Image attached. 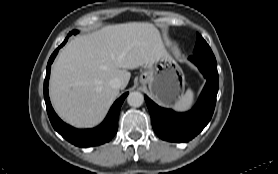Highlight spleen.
<instances>
[{
    "mask_svg": "<svg viewBox=\"0 0 278 174\" xmlns=\"http://www.w3.org/2000/svg\"><path fill=\"white\" fill-rule=\"evenodd\" d=\"M194 103V92L188 89L184 96H182L174 105V110L179 112L188 111Z\"/></svg>",
    "mask_w": 278,
    "mask_h": 174,
    "instance_id": "spleen-1",
    "label": "spleen"
}]
</instances>
